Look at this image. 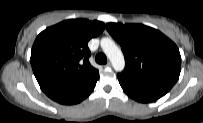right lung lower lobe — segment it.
Here are the masks:
<instances>
[{
  "label": "right lung lower lobe",
  "mask_w": 203,
  "mask_h": 123,
  "mask_svg": "<svg viewBox=\"0 0 203 123\" xmlns=\"http://www.w3.org/2000/svg\"><path fill=\"white\" fill-rule=\"evenodd\" d=\"M98 79L99 76L87 83L64 85L44 92L48 97L60 104H77L91 94Z\"/></svg>",
  "instance_id": "obj_1"
}]
</instances>
